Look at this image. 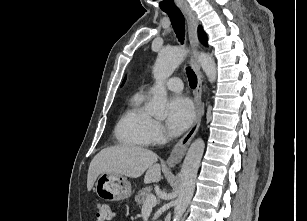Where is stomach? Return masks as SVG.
<instances>
[{"label": "stomach", "instance_id": "1", "mask_svg": "<svg viewBox=\"0 0 307 221\" xmlns=\"http://www.w3.org/2000/svg\"><path fill=\"white\" fill-rule=\"evenodd\" d=\"M94 190L102 199L118 201L130 197L131 184L121 175L103 173L98 176Z\"/></svg>", "mask_w": 307, "mask_h": 221}]
</instances>
